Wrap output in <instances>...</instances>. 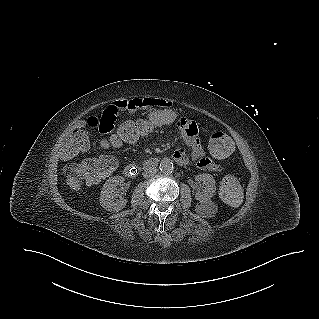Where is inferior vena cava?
<instances>
[{"label":"inferior vena cava","mask_w":319,"mask_h":319,"mask_svg":"<svg viewBox=\"0 0 319 319\" xmlns=\"http://www.w3.org/2000/svg\"><path fill=\"white\" fill-rule=\"evenodd\" d=\"M156 173H157V169H156V168H152V169L146 171V172L143 174V176H144V178H147V177H150V176H152V175H154V174H156Z\"/></svg>","instance_id":"inferior-vena-cava-1"}]
</instances>
